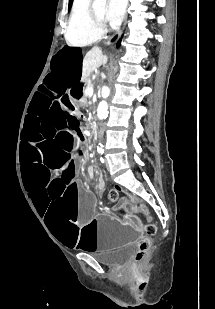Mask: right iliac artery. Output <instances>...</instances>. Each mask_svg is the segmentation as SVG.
Listing matches in <instances>:
<instances>
[{"label":"right iliac artery","mask_w":215,"mask_h":309,"mask_svg":"<svg viewBox=\"0 0 215 309\" xmlns=\"http://www.w3.org/2000/svg\"><path fill=\"white\" fill-rule=\"evenodd\" d=\"M103 152H104V150H103V149L99 151V153H100V154H103Z\"/></svg>","instance_id":"obj_1"}]
</instances>
